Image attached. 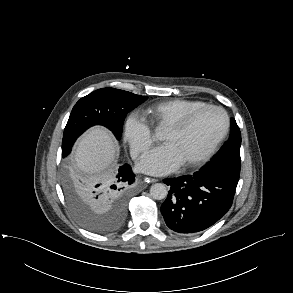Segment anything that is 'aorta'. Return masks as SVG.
Here are the masks:
<instances>
[{
	"mask_svg": "<svg viewBox=\"0 0 293 293\" xmlns=\"http://www.w3.org/2000/svg\"><path fill=\"white\" fill-rule=\"evenodd\" d=\"M168 191L164 184L156 183L150 188V195L155 200H162L167 197Z\"/></svg>",
	"mask_w": 293,
	"mask_h": 293,
	"instance_id": "1",
	"label": "aorta"
}]
</instances>
